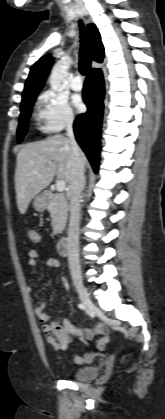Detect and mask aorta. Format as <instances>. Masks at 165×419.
Masks as SVG:
<instances>
[{
  "instance_id": "1",
  "label": "aorta",
  "mask_w": 165,
  "mask_h": 419,
  "mask_svg": "<svg viewBox=\"0 0 165 419\" xmlns=\"http://www.w3.org/2000/svg\"><path fill=\"white\" fill-rule=\"evenodd\" d=\"M71 63V58L69 56H65L54 65L49 79L50 86L54 91L60 90L61 84L67 74V71Z\"/></svg>"
}]
</instances>
